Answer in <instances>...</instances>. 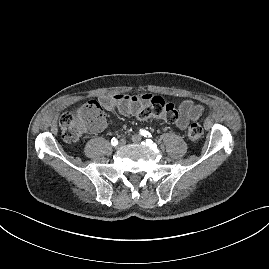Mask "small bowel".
<instances>
[{
  "label": "small bowel",
  "instance_id": "1",
  "mask_svg": "<svg viewBox=\"0 0 269 269\" xmlns=\"http://www.w3.org/2000/svg\"><path fill=\"white\" fill-rule=\"evenodd\" d=\"M152 98L150 94H118V95H104L100 98L99 103L108 111H116L124 115L138 114L141 108L148 103ZM204 107L200 104H195L191 100H184L178 105V115L173 123L184 130L186 129L190 120H196L202 116ZM105 127V121L98 130Z\"/></svg>",
  "mask_w": 269,
  "mask_h": 269
}]
</instances>
